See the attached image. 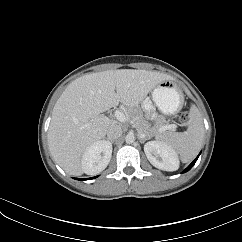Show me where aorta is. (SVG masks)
Here are the masks:
<instances>
[{"mask_svg":"<svg viewBox=\"0 0 242 242\" xmlns=\"http://www.w3.org/2000/svg\"><path fill=\"white\" fill-rule=\"evenodd\" d=\"M125 141L128 144H132L135 141L134 135L132 133L127 134L125 137Z\"/></svg>","mask_w":242,"mask_h":242,"instance_id":"obj_1","label":"aorta"}]
</instances>
